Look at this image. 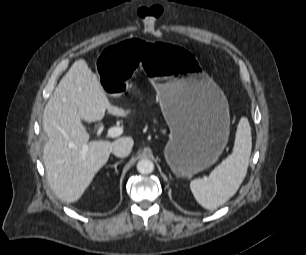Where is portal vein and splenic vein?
<instances>
[{
	"mask_svg": "<svg viewBox=\"0 0 306 255\" xmlns=\"http://www.w3.org/2000/svg\"><path fill=\"white\" fill-rule=\"evenodd\" d=\"M123 133V129L121 127H117V126H114V127H111L108 129L107 131V135L108 137H111V138H115V137H118L120 136L121 134ZM88 147L85 145L83 146L82 148V152L85 153L87 151Z\"/></svg>",
	"mask_w": 306,
	"mask_h": 255,
	"instance_id": "1",
	"label": "portal vein and splenic vein"
}]
</instances>
